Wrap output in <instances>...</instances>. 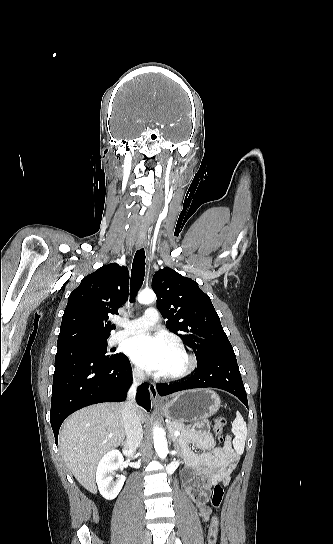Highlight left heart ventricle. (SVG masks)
<instances>
[{"instance_id":"obj_1","label":"left heart ventricle","mask_w":333,"mask_h":544,"mask_svg":"<svg viewBox=\"0 0 333 544\" xmlns=\"http://www.w3.org/2000/svg\"><path fill=\"white\" fill-rule=\"evenodd\" d=\"M184 365H185V360L183 356L180 353H178L174 348L171 347L167 357L166 364L160 373L161 374L174 373L180 370Z\"/></svg>"}]
</instances>
